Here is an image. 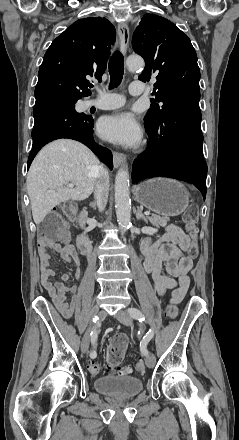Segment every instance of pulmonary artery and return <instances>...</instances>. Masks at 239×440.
<instances>
[{"label":"pulmonary artery","instance_id":"e3ab8cb5","mask_svg":"<svg viewBox=\"0 0 239 440\" xmlns=\"http://www.w3.org/2000/svg\"><path fill=\"white\" fill-rule=\"evenodd\" d=\"M94 90L100 95L113 96L116 98V100L113 102H108V103H96L92 100H87L85 102L86 108H91L94 106L97 109L109 110V109L118 108L124 104V98L120 94L102 92V91H100V89L98 87H95ZM143 91H144V84L141 82H133L129 85V92H130V94H132L134 96L141 94Z\"/></svg>","mask_w":239,"mask_h":440}]
</instances>
